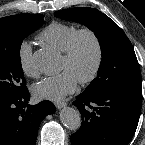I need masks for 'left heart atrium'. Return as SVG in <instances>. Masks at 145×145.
Listing matches in <instances>:
<instances>
[{"mask_svg":"<svg viewBox=\"0 0 145 145\" xmlns=\"http://www.w3.org/2000/svg\"><path fill=\"white\" fill-rule=\"evenodd\" d=\"M78 80L68 70L60 74L47 77L32 87L35 98L41 100L59 101L76 90Z\"/></svg>","mask_w":145,"mask_h":145,"instance_id":"39dd6f15","label":"left heart atrium"}]
</instances>
